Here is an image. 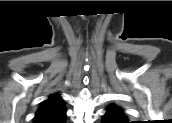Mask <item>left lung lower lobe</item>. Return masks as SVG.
I'll return each instance as SVG.
<instances>
[{
  "instance_id": "0a47b994",
  "label": "left lung lower lobe",
  "mask_w": 172,
  "mask_h": 123,
  "mask_svg": "<svg viewBox=\"0 0 172 123\" xmlns=\"http://www.w3.org/2000/svg\"><path fill=\"white\" fill-rule=\"evenodd\" d=\"M103 123H109V122H107V121L103 120Z\"/></svg>"
}]
</instances>
